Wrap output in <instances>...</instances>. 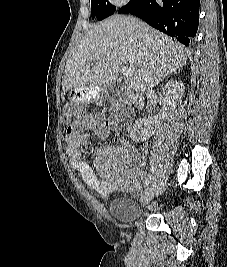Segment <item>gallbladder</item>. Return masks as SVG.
<instances>
[{"label":"gallbladder","mask_w":227,"mask_h":267,"mask_svg":"<svg viewBox=\"0 0 227 267\" xmlns=\"http://www.w3.org/2000/svg\"><path fill=\"white\" fill-rule=\"evenodd\" d=\"M114 86H115L114 84L109 85V86L107 87V90H108V91H113Z\"/></svg>","instance_id":"1"}]
</instances>
